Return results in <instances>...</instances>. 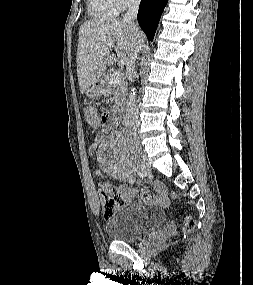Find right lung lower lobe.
Wrapping results in <instances>:
<instances>
[{
    "label": "right lung lower lobe",
    "instance_id": "obj_1",
    "mask_svg": "<svg viewBox=\"0 0 253 285\" xmlns=\"http://www.w3.org/2000/svg\"><path fill=\"white\" fill-rule=\"evenodd\" d=\"M167 0H142L137 19L149 40H153L158 22Z\"/></svg>",
    "mask_w": 253,
    "mask_h": 285
}]
</instances>
